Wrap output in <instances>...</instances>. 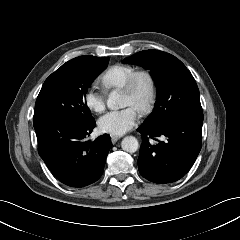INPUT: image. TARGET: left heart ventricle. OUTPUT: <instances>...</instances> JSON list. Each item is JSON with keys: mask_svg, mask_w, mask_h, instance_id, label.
<instances>
[{"mask_svg": "<svg viewBox=\"0 0 240 240\" xmlns=\"http://www.w3.org/2000/svg\"><path fill=\"white\" fill-rule=\"evenodd\" d=\"M149 95V83L147 79L141 78L136 86V89L131 94L121 93L120 104L121 106L131 107L136 112L145 104Z\"/></svg>", "mask_w": 240, "mask_h": 240, "instance_id": "b2bd125f", "label": "left heart ventricle"}]
</instances>
